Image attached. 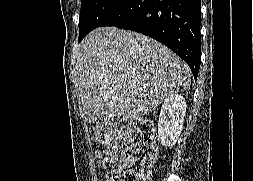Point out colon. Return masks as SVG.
<instances>
[{"mask_svg":"<svg viewBox=\"0 0 253 181\" xmlns=\"http://www.w3.org/2000/svg\"><path fill=\"white\" fill-rule=\"evenodd\" d=\"M98 137L110 150H114L116 140H123L121 163L106 181H149L158 151L155 127L150 120H112L99 129Z\"/></svg>","mask_w":253,"mask_h":181,"instance_id":"obj_1","label":"colon"}]
</instances>
